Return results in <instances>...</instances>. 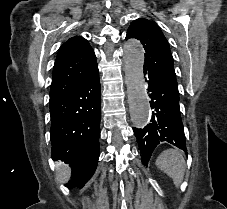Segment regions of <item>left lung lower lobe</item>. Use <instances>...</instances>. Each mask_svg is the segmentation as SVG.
Returning <instances> with one entry per match:
<instances>
[{
	"instance_id": "1",
	"label": "left lung lower lobe",
	"mask_w": 227,
	"mask_h": 209,
	"mask_svg": "<svg viewBox=\"0 0 227 209\" xmlns=\"http://www.w3.org/2000/svg\"><path fill=\"white\" fill-rule=\"evenodd\" d=\"M146 75V74H145ZM150 105L154 109L151 123L143 129L133 128L142 163L147 166L155 147L168 142L187 154L184 127L179 109V93L164 86L154 75H148Z\"/></svg>"
}]
</instances>
